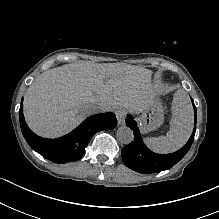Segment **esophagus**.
Returning <instances> with one entry per match:
<instances>
[{
  "label": "esophagus",
  "instance_id": "obj_1",
  "mask_svg": "<svg viewBox=\"0 0 219 219\" xmlns=\"http://www.w3.org/2000/svg\"><path fill=\"white\" fill-rule=\"evenodd\" d=\"M125 109L123 108H118L116 111H115V115L117 117V121H118V124L119 125H122L125 123Z\"/></svg>",
  "mask_w": 219,
  "mask_h": 219
}]
</instances>
